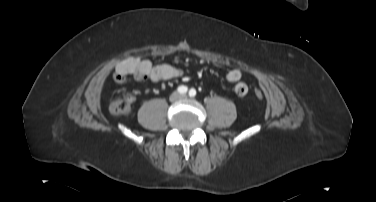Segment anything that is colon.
<instances>
[{"mask_svg": "<svg viewBox=\"0 0 376 202\" xmlns=\"http://www.w3.org/2000/svg\"><path fill=\"white\" fill-rule=\"evenodd\" d=\"M255 96L258 99L263 98V93L260 90L255 91ZM134 97L131 94H123L122 97L116 99L111 105V113L115 116L127 115L132 110Z\"/></svg>", "mask_w": 376, "mask_h": 202, "instance_id": "colon-1", "label": "colon"}]
</instances>
